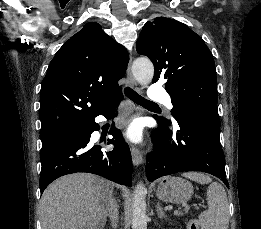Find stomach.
Masks as SVG:
<instances>
[{
    "label": "stomach",
    "mask_w": 261,
    "mask_h": 229,
    "mask_svg": "<svg viewBox=\"0 0 261 229\" xmlns=\"http://www.w3.org/2000/svg\"><path fill=\"white\" fill-rule=\"evenodd\" d=\"M193 195V187L189 181L180 179V177H163L160 179L157 189L156 197L164 203H187Z\"/></svg>",
    "instance_id": "obj_1"
}]
</instances>
